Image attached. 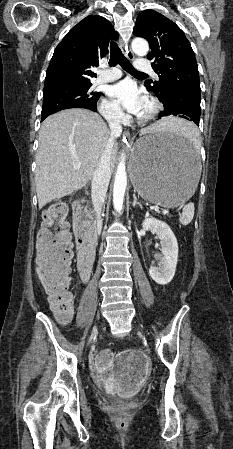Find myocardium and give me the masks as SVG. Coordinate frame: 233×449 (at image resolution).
<instances>
[{
	"label": "myocardium",
	"mask_w": 233,
	"mask_h": 449,
	"mask_svg": "<svg viewBox=\"0 0 233 449\" xmlns=\"http://www.w3.org/2000/svg\"><path fill=\"white\" fill-rule=\"evenodd\" d=\"M147 102L149 104V111L144 115L137 116V121L139 123H147L154 119L161 108L159 101L153 96L147 97Z\"/></svg>",
	"instance_id": "obj_1"
}]
</instances>
